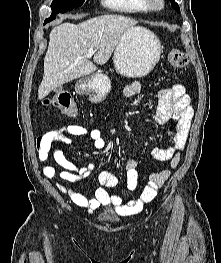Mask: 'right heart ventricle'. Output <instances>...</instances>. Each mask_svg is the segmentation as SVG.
Here are the masks:
<instances>
[{
  "label": "right heart ventricle",
  "instance_id": "obj_1",
  "mask_svg": "<svg viewBox=\"0 0 221 263\" xmlns=\"http://www.w3.org/2000/svg\"><path fill=\"white\" fill-rule=\"evenodd\" d=\"M110 10L129 14H145L149 12L145 0H102Z\"/></svg>",
  "mask_w": 221,
  "mask_h": 263
}]
</instances>
